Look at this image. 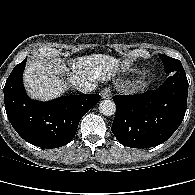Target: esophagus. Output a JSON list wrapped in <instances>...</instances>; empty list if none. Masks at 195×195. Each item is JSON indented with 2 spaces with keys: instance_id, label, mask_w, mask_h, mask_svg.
I'll list each match as a JSON object with an SVG mask.
<instances>
[{
  "instance_id": "obj_1",
  "label": "esophagus",
  "mask_w": 195,
  "mask_h": 195,
  "mask_svg": "<svg viewBox=\"0 0 195 195\" xmlns=\"http://www.w3.org/2000/svg\"><path fill=\"white\" fill-rule=\"evenodd\" d=\"M112 96V91L110 88H104L102 91H101V97L103 99H109L111 98Z\"/></svg>"
}]
</instances>
